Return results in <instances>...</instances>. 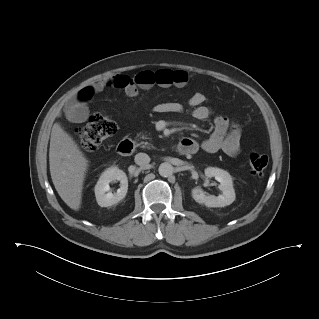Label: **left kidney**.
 Wrapping results in <instances>:
<instances>
[{"instance_id":"obj_1","label":"left kidney","mask_w":319,"mask_h":319,"mask_svg":"<svg viewBox=\"0 0 319 319\" xmlns=\"http://www.w3.org/2000/svg\"><path fill=\"white\" fill-rule=\"evenodd\" d=\"M205 176L208 178L214 177L220 185L219 189L222 194L219 196L206 195L200 187L192 189V197L199 204H204L207 207H224L230 205L235 200V191L231 175L220 168L208 167L205 169Z\"/></svg>"}]
</instances>
